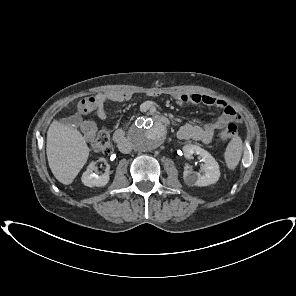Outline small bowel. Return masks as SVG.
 <instances>
[{
  "instance_id": "small-bowel-1",
  "label": "small bowel",
  "mask_w": 296,
  "mask_h": 296,
  "mask_svg": "<svg viewBox=\"0 0 296 296\" xmlns=\"http://www.w3.org/2000/svg\"><path fill=\"white\" fill-rule=\"evenodd\" d=\"M130 93L123 91H110L101 93L81 101L78 106L80 114H87L96 111L100 117L106 115L105 104L108 102H122L129 100ZM172 99L180 106L204 104L216 107L221 110L220 116L210 122L195 120L180 127L177 136L180 140H194L205 144L213 140L217 130L223 129L233 121H240L241 117L236 110L226 101L217 99L209 95L198 93H172ZM80 129L84 138L91 141L97 131L96 124L91 120H82L79 122Z\"/></svg>"
}]
</instances>
